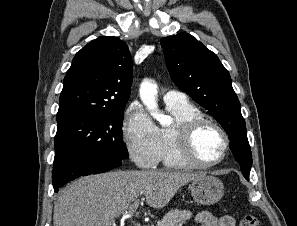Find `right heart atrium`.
<instances>
[{
  "mask_svg": "<svg viewBox=\"0 0 297 226\" xmlns=\"http://www.w3.org/2000/svg\"><path fill=\"white\" fill-rule=\"evenodd\" d=\"M122 138L132 161L140 168L157 166L161 159L159 129L138 102L126 110Z\"/></svg>",
  "mask_w": 297,
  "mask_h": 226,
  "instance_id": "obj_1",
  "label": "right heart atrium"
}]
</instances>
